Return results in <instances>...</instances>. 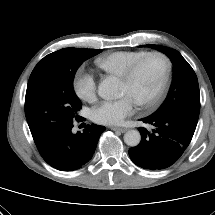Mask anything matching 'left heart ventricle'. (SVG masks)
<instances>
[{"label": "left heart ventricle", "mask_w": 215, "mask_h": 215, "mask_svg": "<svg viewBox=\"0 0 215 215\" xmlns=\"http://www.w3.org/2000/svg\"><path fill=\"white\" fill-rule=\"evenodd\" d=\"M163 73L164 63L160 58L146 59L130 81H120V96L129 95L136 103L148 100L158 89Z\"/></svg>", "instance_id": "left-heart-ventricle-1"}]
</instances>
